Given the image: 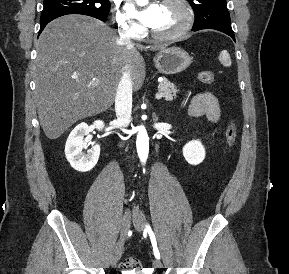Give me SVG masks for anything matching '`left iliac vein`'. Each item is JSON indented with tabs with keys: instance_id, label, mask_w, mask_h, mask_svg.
Instances as JSON below:
<instances>
[{
	"instance_id": "4c4485c4",
	"label": "left iliac vein",
	"mask_w": 289,
	"mask_h": 274,
	"mask_svg": "<svg viewBox=\"0 0 289 274\" xmlns=\"http://www.w3.org/2000/svg\"><path fill=\"white\" fill-rule=\"evenodd\" d=\"M133 224H134V227L137 231L141 232L144 230V228H145V216L141 211L137 210L134 212ZM153 265L155 266V268H162L163 267V264L161 263V261L159 259H155L153 261Z\"/></svg>"
}]
</instances>
